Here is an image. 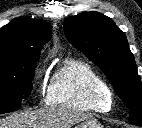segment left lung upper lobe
<instances>
[{
	"mask_svg": "<svg viewBox=\"0 0 142 128\" xmlns=\"http://www.w3.org/2000/svg\"><path fill=\"white\" fill-rule=\"evenodd\" d=\"M66 38L95 62L130 110L129 122L142 126V87L125 34L107 16L83 12L64 21Z\"/></svg>",
	"mask_w": 142,
	"mask_h": 128,
	"instance_id": "obj_1",
	"label": "left lung upper lobe"
}]
</instances>
